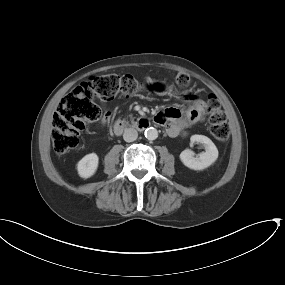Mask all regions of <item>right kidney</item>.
Masks as SVG:
<instances>
[{
    "label": "right kidney",
    "instance_id": "ca27d5eb",
    "mask_svg": "<svg viewBox=\"0 0 285 285\" xmlns=\"http://www.w3.org/2000/svg\"><path fill=\"white\" fill-rule=\"evenodd\" d=\"M99 157L96 153L85 155L77 163V171L80 177L89 178L93 176L98 168Z\"/></svg>",
    "mask_w": 285,
    "mask_h": 285
}]
</instances>
